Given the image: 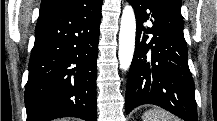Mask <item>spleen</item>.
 I'll use <instances>...</instances> for the list:
<instances>
[{
  "instance_id": "3e777b00",
  "label": "spleen",
  "mask_w": 217,
  "mask_h": 121,
  "mask_svg": "<svg viewBox=\"0 0 217 121\" xmlns=\"http://www.w3.org/2000/svg\"><path fill=\"white\" fill-rule=\"evenodd\" d=\"M142 118L143 121H177L171 114L161 109L148 110Z\"/></svg>"
}]
</instances>
